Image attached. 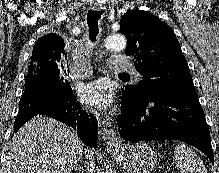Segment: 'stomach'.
I'll list each match as a JSON object with an SVG mask.
<instances>
[{"label": "stomach", "instance_id": "obj_1", "mask_svg": "<svg viewBox=\"0 0 219 173\" xmlns=\"http://www.w3.org/2000/svg\"><path fill=\"white\" fill-rule=\"evenodd\" d=\"M110 152L127 173H151L157 165L156 152L144 142L119 144Z\"/></svg>", "mask_w": 219, "mask_h": 173}]
</instances>
